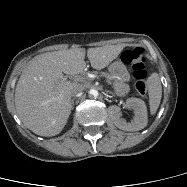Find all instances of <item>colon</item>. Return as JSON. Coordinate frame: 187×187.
Listing matches in <instances>:
<instances>
[{
	"instance_id": "obj_1",
	"label": "colon",
	"mask_w": 187,
	"mask_h": 187,
	"mask_svg": "<svg viewBox=\"0 0 187 187\" xmlns=\"http://www.w3.org/2000/svg\"><path fill=\"white\" fill-rule=\"evenodd\" d=\"M122 60L126 64L130 65L133 70V76L135 78V89L140 95H144L147 92V70L145 67L144 50L141 47H135L130 50H126L122 54Z\"/></svg>"
}]
</instances>
